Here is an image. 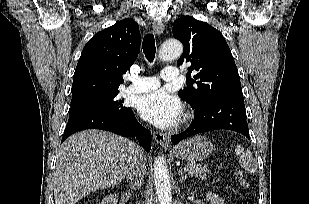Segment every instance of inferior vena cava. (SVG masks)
Wrapping results in <instances>:
<instances>
[{
    "label": "inferior vena cava",
    "instance_id": "obj_1",
    "mask_svg": "<svg viewBox=\"0 0 309 204\" xmlns=\"http://www.w3.org/2000/svg\"><path fill=\"white\" fill-rule=\"evenodd\" d=\"M145 155L143 154L140 147L136 148L135 154L131 159L129 167L126 170L127 180L130 181L131 186H140L144 180L146 171L145 166Z\"/></svg>",
    "mask_w": 309,
    "mask_h": 204
}]
</instances>
